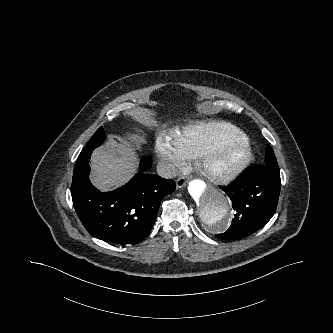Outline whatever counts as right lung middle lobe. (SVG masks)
<instances>
[{
  "mask_svg": "<svg viewBox=\"0 0 333 333\" xmlns=\"http://www.w3.org/2000/svg\"><path fill=\"white\" fill-rule=\"evenodd\" d=\"M105 139V132L102 127H100L95 134L92 136L90 141L86 144L85 148H93L95 149L96 147L100 146Z\"/></svg>",
  "mask_w": 333,
  "mask_h": 333,
  "instance_id": "obj_1",
  "label": "right lung middle lobe"
}]
</instances>
